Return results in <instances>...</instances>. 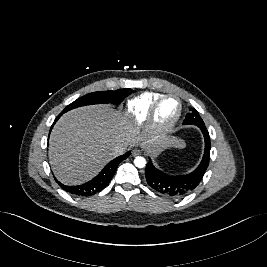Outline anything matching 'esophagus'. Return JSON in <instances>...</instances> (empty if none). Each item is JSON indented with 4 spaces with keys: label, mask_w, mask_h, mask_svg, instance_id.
<instances>
[{
    "label": "esophagus",
    "mask_w": 267,
    "mask_h": 267,
    "mask_svg": "<svg viewBox=\"0 0 267 267\" xmlns=\"http://www.w3.org/2000/svg\"><path fill=\"white\" fill-rule=\"evenodd\" d=\"M141 154V150L140 149H134L133 151H132V155L133 156H137V155H140Z\"/></svg>",
    "instance_id": "esophagus-1"
}]
</instances>
